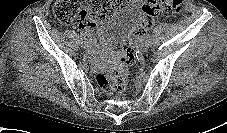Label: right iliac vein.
Wrapping results in <instances>:
<instances>
[{"label": "right iliac vein", "instance_id": "1", "mask_svg": "<svg viewBox=\"0 0 227 133\" xmlns=\"http://www.w3.org/2000/svg\"><path fill=\"white\" fill-rule=\"evenodd\" d=\"M81 46L84 49H88L89 48V42L86 39H83L82 42H81Z\"/></svg>", "mask_w": 227, "mask_h": 133}]
</instances>
